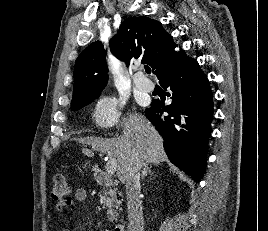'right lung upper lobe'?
I'll list each match as a JSON object with an SVG mask.
<instances>
[{
  "mask_svg": "<svg viewBox=\"0 0 268 231\" xmlns=\"http://www.w3.org/2000/svg\"><path fill=\"white\" fill-rule=\"evenodd\" d=\"M109 45L111 52L127 65L132 58L150 65L158 79L191 59L184 51H174L176 44L172 36L159 21L148 17L124 20ZM107 71L102 43L90 44L75 62L71 105L99 97L108 81Z\"/></svg>",
  "mask_w": 268,
  "mask_h": 231,
  "instance_id": "right-lung-upper-lobe-1",
  "label": "right lung upper lobe"
}]
</instances>
